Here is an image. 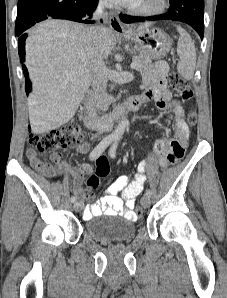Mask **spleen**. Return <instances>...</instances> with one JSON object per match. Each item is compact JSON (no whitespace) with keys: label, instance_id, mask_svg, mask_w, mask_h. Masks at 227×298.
I'll list each match as a JSON object with an SVG mask.
<instances>
[{"label":"spleen","instance_id":"obj_1","mask_svg":"<svg viewBox=\"0 0 227 298\" xmlns=\"http://www.w3.org/2000/svg\"><path fill=\"white\" fill-rule=\"evenodd\" d=\"M176 28L180 34L177 44V53L180 58L177 65V71L183 78L190 80L193 78L196 66V49L194 41L185 29L180 26H177Z\"/></svg>","mask_w":227,"mask_h":298}]
</instances>
